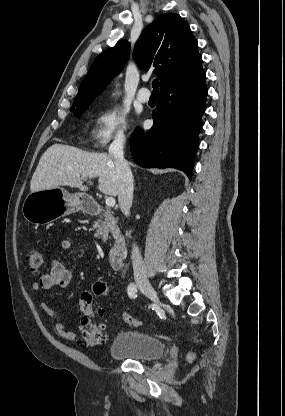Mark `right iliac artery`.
<instances>
[{"label": "right iliac artery", "mask_w": 285, "mask_h": 416, "mask_svg": "<svg viewBox=\"0 0 285 416\" xmlns=\"http://www.w3.org/2000/svg\"><path fill=\"white\" fill-rule=\"evenodd\" d=\"M127 292L130 298L135 299L137 297V286L134 283H131L128 286Z\"/></svg>", "instance_id": "1"}]
</instances>
